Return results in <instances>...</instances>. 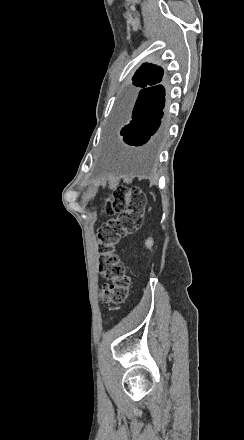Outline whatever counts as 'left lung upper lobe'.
I'll use <instances>...</instances> for the list:
<instances>
[{
    "label": "left lung upper lobe",
    "mask_w": 244,
    "mask_h": 440,
    "mask_svg": "<svg viewBox=\"0 0 244 440\" xmlns=\"http://www.w3.org/2000/svg\"><path fill=\"white\" fill-rule=\"evenodd\" d=\"M163 69L153 64H143L133 76V85L136 87H146L162 80Z\"/></svg>",
    "instance_id": "1"
}]
</instances>
